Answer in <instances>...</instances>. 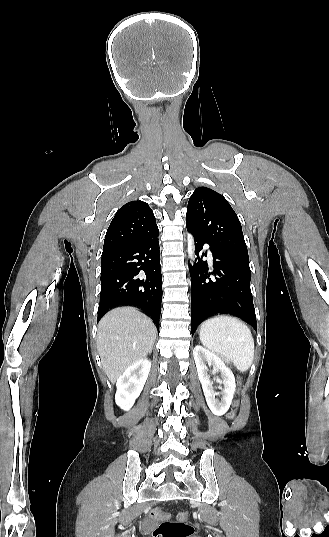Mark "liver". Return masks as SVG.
I'll list each match as a JSON object with an SVG mask.
<instances>
[{"label": "liver", "mask_w": 329, "mask_h": 537, "mask_svg": "<svg viewBox=\"0 0 329 537\" xmlns=\"http://www.w3.org/2000/svg\"><path fill=\"white\" fill-rule=\"evenodd\" d=\"M156 334L152 320L133 307L113 309L101 319L97 349L111 383L127 367L151 353Z\"/></svg>", "instance_id": "liver-1"}]
</instances>
